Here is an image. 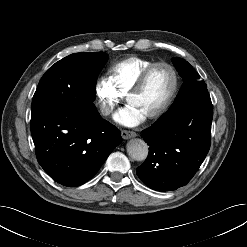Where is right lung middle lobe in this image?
Segmentation results:
<instances>
[{
    "label": "right lung middle lobe",
    "mask_w": 247,
    "mask_h": 247,
    "mask_svg": "<svg viewBox=\"0 0 247 247\" xmlns=\"http://www.w3.org/2000/svg\"><path fill=\"white\" fill-rule=\"evenodd\" d=\"M107 59L104 52H91L71 54L56 62L38 84L31 115L56 104L85 114L97 111L93 104L96 80Z\"/></svg>",
    "instance_id": "1"
}]
</instances>
